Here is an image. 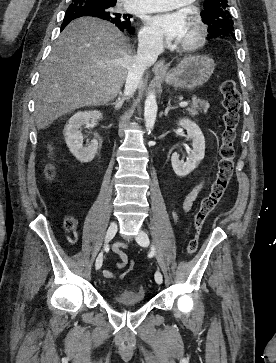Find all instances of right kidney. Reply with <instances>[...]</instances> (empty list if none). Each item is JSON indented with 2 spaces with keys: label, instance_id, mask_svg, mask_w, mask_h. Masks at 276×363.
<instances>
[{
  "label": "right kidney",
  "instance_id": "1",
  "mask_svg": "<svg viewBox=\"0 0 276 363\" xmlns=\"http://www.w3.org/2000/svg\"><path fill=\"white\" fill-rule=\"evenodd\" d=\"M103 115L100 111H80L75 113L64 127L63 135L69 151L81 163L92 161L97 153L98 141L93 139L86 147L83 146L81 127H89L90 119L100 120Z\"/></svg>",
  "mask_w": 276,
  "mask_h": 363
}]
</instances>
